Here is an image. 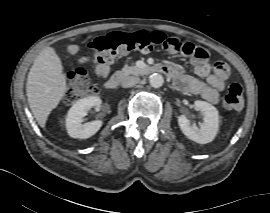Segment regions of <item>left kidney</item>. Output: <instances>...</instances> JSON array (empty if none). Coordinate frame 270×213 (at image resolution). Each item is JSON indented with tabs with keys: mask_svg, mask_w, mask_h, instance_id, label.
Masks as SVG:
<instances>
[{
	"mask_svg": "<svg viewBox=\"0 0 270 213\" xmlns=\"http://www.w3.org/2000/svg\"><path fill=\"white\" fill-rule=\"evenodd\" d=\"M194 105L202 113L203 122L199 127L191 124L185 115L178 117V124L183 134L200 144H206L214 140L219 130L218 110L208 102L197 100Z\"/></svg>",
	"mask_w": 270,
	"mask_h": 213,
	"instance_id": "obj_1",
	"label": "left kidney"
}]
</instances>
